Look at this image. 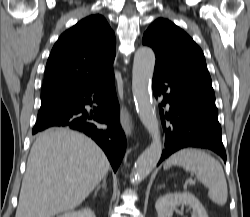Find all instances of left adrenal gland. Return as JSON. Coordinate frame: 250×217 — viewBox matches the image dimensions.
<instances>
[{"mask_svg": "<svg viewBox=\"0 0 250 217\" xmlns=\"http://www.w3.org/2000/svg\"><path fill=\"white\" fill-rule=\"evenodd\" d=\"M165 187V185H160V186H158V189H161V188H164Z\"/></svg>", "mask_w": 250, "mask_h": 217, "instance_id": "a2214340", "label": "left adrenal gland"}]
</instances>
